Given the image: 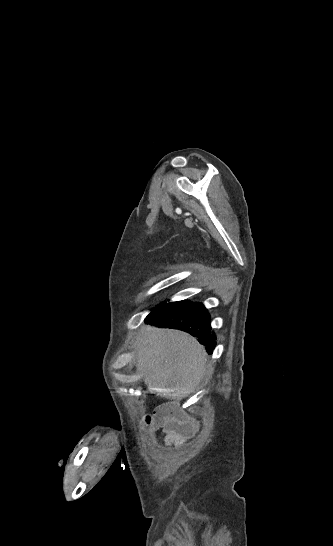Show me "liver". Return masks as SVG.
<instances>
[{
  "label": "liver",
  "mask_w": 333,
  "mask_h": 546,
  "mask_svg": "<svg viewBox=\"0 0 333 546\" xmlns=\"http://www.w3.org/2000/svg\"><path fill=\"white\" fill-rule=\"evenodd\" d=\"M137 370L148 390L174 402L195 391L206 372V352L182 331L147 326L136 341Z\"/></svg>",
  "instance_id": "obj_1"
}]
</instances>
